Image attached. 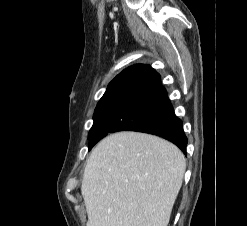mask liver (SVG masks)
<instances>
[{
  "instance_id": "1",
  "label": "liver",
  "mask_w": 247,
  "mask_h": 226,
  "mask_svg": "<svg viewBox=\"0 0 247 226\" xmlns=\"http://www.w3.org/2000/svg\"><path fill=\"white\" fill-rule=\"evenodd\" d=\"M185 169L183 153L164 139L136 132L107 136L83 174L87 226H167Z\"/></svg>"
}]
</instances>
